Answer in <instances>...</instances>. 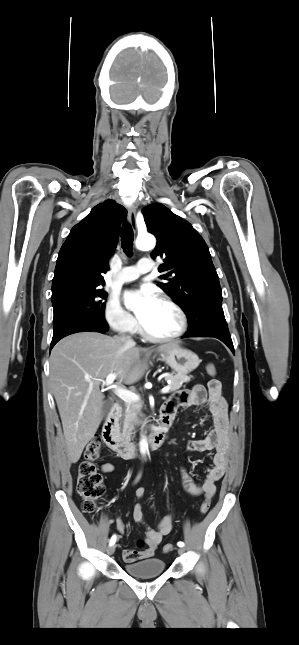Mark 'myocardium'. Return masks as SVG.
Instances as JSON below:
<instances>
[{"mask_svg": "<svg viewBox=\"0 0 299 645\" xmlns=\"http://www.w3.org/2000/svg\"><path fill=\"white\" fill-rule=\"evenodd\" d=\"M158 300L163 302V303H165V304H167L168 306H170L176 312V314H177V316L179 318V326H178L177 330L174 333L169 334V335L156 336V335H153V334L149 333L143 327V325L140 323L139 324V332L141 333V335L145 339H147L149 341H152V342H169V341H173V340H176V339L180 338L181 336H183L186 333L187 328H188V318H187V315H186L185 311L183 310V308L177 302H175L173 299H171L170 297H168L166 295L160 296Z\"/></svg>", "mask_w": 299, "mask_h": 645, "instance_id": "obj_1", "label": "myocardium"}]
</instances>
